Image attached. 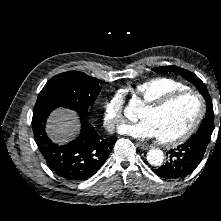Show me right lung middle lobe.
<instances>
[{"instance_id": "1", "label": "right lung middle lobe", "mask_w": 221, "mask_h": 221, "mask_svg": "<svg viewBox=\"0 0 221 221\" xmlns=\"http://www.w3.org/2000/svg\"><path fill=\"white\" fill-rule=\"evenodd\" d=\"M105 83L82 72L61 73L46 83L36 103H52L56 107L69 108L87 117L88 108L94 104L100 92V84Z\"/></svg>"}]
</instances>
